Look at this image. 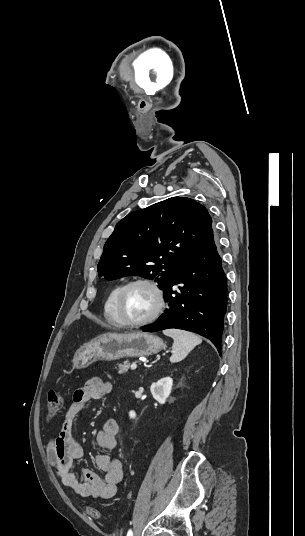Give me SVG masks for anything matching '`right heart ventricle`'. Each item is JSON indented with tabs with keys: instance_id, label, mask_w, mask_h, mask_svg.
<instances>
[{
	"instance_id": "obj_1",
	"label": "right heart ventricle",
	"mask_w": 305,
	"mask_h": 536,
	"mask_svg": "<svg viewBox=\"0 0 305 536\" xmlns=\"http://www.w3.org/2000/svg\"><path fill=\"white\" fill-rule=\"evenodd\" d=\"M122 285H123L122 283H117L111 288L103 306V317L105 321L108 324L115 326V327L121 326L120 320L117 317L116 311H115V299Z\"/></svg>"
}]
</instances>
